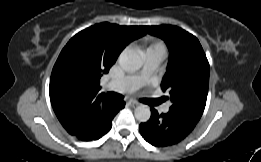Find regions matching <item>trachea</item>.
<instances>
[{"label": "trachea", "mask_w": 261, "mask_h": 162, "mask_svg": "<svg viewBox=\"0 0 261 162\" xmlns=\"http://www.w3.org/2000/svg\"><path fill=\"white\" fill-rule=\"evenodd\" d=\"M108 96L114 100H122L123 96L115 92H107Z\"/></svg>", "instance_id": "trachea-1"}]
</instances>
